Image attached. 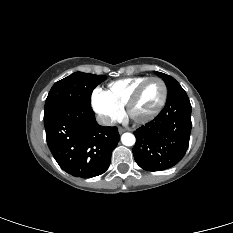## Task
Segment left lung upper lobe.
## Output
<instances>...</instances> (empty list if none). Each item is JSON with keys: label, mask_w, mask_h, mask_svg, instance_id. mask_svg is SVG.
<instances>
[{"label": "left lung upper lobe", "mask_w": 233, "mask_h": 233, "mask_svg": "<svg viewBox=\"0 0 233 233\" xmlns=\"http://www.w3.org/2000/svg\"><path fill=\"white\" fill-rule=\"evenodd\" d=\"M155 73L161 77L167 86L168 89V97L167 99H170L180 93L185 92L184 89L180 86V84L171 76L161 73V72H157L155 71Z\"/></svg>", "instance_id": "left-lung-upper-lobe-1"}]
</instances>
